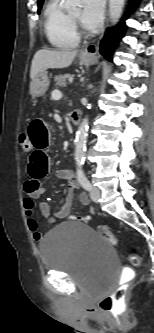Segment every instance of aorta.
Instances as JSON below:
<instances>
[{"label": "aorta", "instance_id": "aorta-1", "mask_svg": "<svg viewBox=\"0 0 154 333\" xmlns=\"http://www.w3.org/2000/svg\"><path fill=\"white\" fill-rule=\"evenodd\" d=\"M125 0H109V18L112 25H116L122 14ZM80 0H66L65 8L75 10L79 7ZM88 131V118H84L81 122L75 139V161L80 168L85 160V149Z\"/></svg>", "mask_w": 154, "mask_h": 333}]
</instances>
